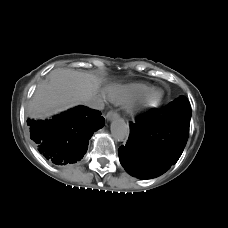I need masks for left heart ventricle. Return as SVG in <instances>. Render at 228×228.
I'll list each match as a JSON object with an SVG mask.
<instances>
[{"label": "left heart ventricle", "mask_w": 228, "mask_h": 228, "mask_svg": "<svg viewBox=\"0 0 228 228\" xmlns=\"http://www.w3.org/2000/svg\"><path fill=\"white\" fill-rule=\"evenodd\" d=\"M157 94L155 93V94H152L149 98H148V100L149 101H154L156 98H157Z\"/></svg>", "instance_id": "1"}]
</instances>
